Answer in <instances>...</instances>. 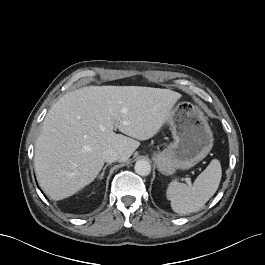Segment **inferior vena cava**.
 Returning <instances> with one entry per match:
<instances>
[{"label": "inferior vena cava", "instance_id": "1", "mask_svg": "<svg viewBox=\"0 0 265 265\" xmlns=\"http://www.w3.org/2000/svg\"><path fill=\"white\" fill-rule=\"evenodd\" d=\"M102 158L105 162L112 163L119 159V154L113 149H107L103 152Z\"/></svg>", "mask_w": 265, "mask_h": 265}]
</instances>
